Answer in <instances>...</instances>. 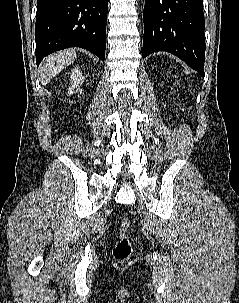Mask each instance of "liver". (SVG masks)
<instances>
[{"label": "liver", "instance_id": "6515ba94", "mask_svg": "<svg viewBox=\"0 0 239 303\" xmlns=\"http://www.w3.org/2000/svg\"><path fill=\"white\" fill-rule=\"evenodd\" d=\"M76 58L77 55L74 49L60 51L46 57L40 67L42 85L49 83L52 78L73 63Z\"/></svg>", "mask_w": 239, "mask_h": 303}]
</instances>
